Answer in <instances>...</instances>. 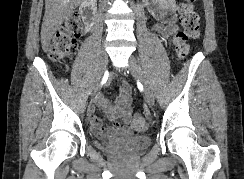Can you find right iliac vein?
<instances>
[{
	"label": "right iliac vein",
	"mask_w": 244,
	"mask_h": 179,
	"mask_svg": "<svg viewBox=\"0 0 244 179\" xmlns=\"http://www.w3.org/2000/svg\"><path fill=\"white\" fill-rule=\"evenodd\" d=\"M107 64H108L107 54L104 51H102L100 54V58L98 61V66H97V70H96V74H95V78H94V82H93V93H96L99 90V83L106 71Z\"/></svg>",
	"instance_id": "63e3f726"
}]
</instances>
